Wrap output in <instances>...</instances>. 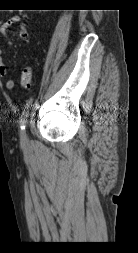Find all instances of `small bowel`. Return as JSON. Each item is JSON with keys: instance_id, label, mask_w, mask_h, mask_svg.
Masks as SVG:
<instances>
[{"instance_id": "c3829d8e", "label": "small bowel", "mask_w": 138, "mask_h": 253, "mask_svg": "<svg viewBox=\"0 0 138 253\" xmlns=\"http://www.w3.org/2000/svg\"><path fill=\"white\" fill-rule=\"evenodd\" d=\"M14 24L19 25L20 37L22 38V40L25 42L26 45H29L31 39H30L28 30H27V27L24 23L21 22V19L18 16L11 17L10 19H8L6 22H4L0 26V33L5 38V41H6L7 45H11V43H12L11 39L8 36V30ZM7 72H8L7 66L5 65V63L3 61L2 51L0 50V76H2V77L6 76ZM14 87H15V80L14 79H8L6 81V88L11 90Z\"/></svg>"}]
</instances>
